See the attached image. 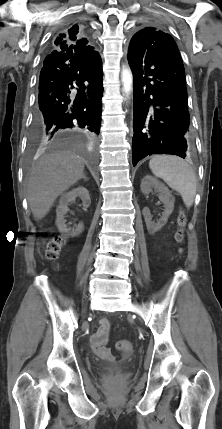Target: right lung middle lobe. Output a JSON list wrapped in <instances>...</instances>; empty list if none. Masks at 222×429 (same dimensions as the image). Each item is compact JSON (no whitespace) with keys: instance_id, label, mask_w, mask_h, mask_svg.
I'll return each instance as SVG.
<instances>
[{"instance_id":"1","label":"right lung middle lobe","mask_w":222,"mask_h":429,"mask_svg":"<svg viewBox=\"0 0 222 429\" xmlns=\"http://www.w3.org/2000/svg\"><path fill=\"white\" fill-rule=\"evenodd\" d=\"M31 139L33 141H36L37 143H41V145H44L46 143L45 140H44V138L42 136H40V135L36 136V137H34V136L31 135Z\"/></svg>"}]
</instances>
